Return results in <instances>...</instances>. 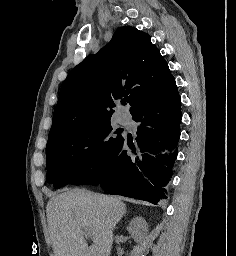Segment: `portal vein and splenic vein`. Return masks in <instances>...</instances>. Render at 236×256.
I'll return each mask as SVG.
<instances>
[{
    "instance_id": "1",
    "label": "portal vein and splenic vein",
    "mask_w": 236,
    "mask_h": 256,
    "mask_svg": "<svg viewBox=\"0 0 236 256\" xmlns=\"http://www.w3.org/2000/svg\"><path fill=\"white\" fill-rule=\"evenodd\" d=\"M83 234H84L85 238H91L90 228H84Z\"/></svg>"
}]
</instances>
